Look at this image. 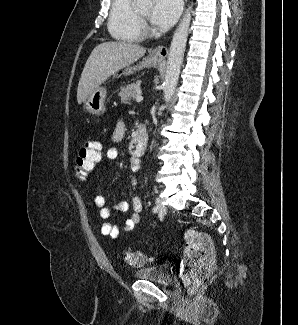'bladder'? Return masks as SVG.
<instances>
[{
    "instance_id": "31cf9c89",
    "label": "bladder",
    "mask_w": 298,
    "mask_h": 325,
    "mask_svg": "<svg viewBox=\"0 0 298 325\" xmlns=\"http://www.w3.org/2000/svg\"><path fill=\"white\" fill-rule=\"evenodd\" d=\"M134 277L163 286H170L173 283V277L171 273L162 266H147L140 268L135 271Z\"/></svg>"
}]
</instances>
